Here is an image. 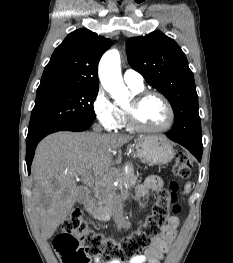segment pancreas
Returning <instances> with one entry per match:
<instances>
[{
  "label": "pancreas",
  "mask_w": 233,
  "mask_h": 263,
  "mask_svg": "<svg viewBox=\"0 0 233 263\" xmlns=\"http://www.w3.org/2000/svg\"><path fill=\"white\" fill-rule=\"evenodd\" d=\"M117 181L120 186L125 188L133 187L137 182V177L130 170L126 175L124 172H121L118 175ZM115 189L112 192L99 191L97 195V204L90 210V214L97 220L107 222L110 220L113 211L118 206L121 201V198H125L129 195V192L124 189L120 194L115 193Z\"/></svg>",
  "instance_id": "cf45deb5"
}]
</instances>
